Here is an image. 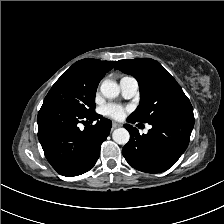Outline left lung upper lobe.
<instances>
[{
    "label": "left lung upper lobe",
    "instance_id": "1",
    "mask_svg": "<svg viewBox=\"0 0 224 224\" xmlns=\"http://www.w3.org/2000/svg\"><path fill=\"white\" fill-rule=\"evenodd\" d=\"M115 69L136 78L140 104L129 116L136 122L152 123L165 119L194 117L193 107L182 88L160 63L150 58L120 60Z\"/></svg>",
    "mask_w": 224,
    "mask_h": 224
}]
</instances>
